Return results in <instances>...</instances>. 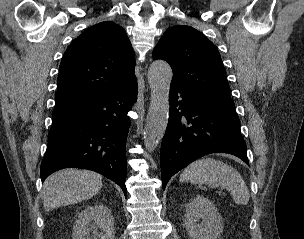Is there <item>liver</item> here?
Listing matches in <instances>:
<instances>
[{"label": "liver", "mask_w": 304, "mask_h": 239, "mask_svg": "<svg viewBox=\"0 0 304 239\" xmlns=\"http://www.w3.org/2000/svg\"><path fill=\"white\" fill-rule=\"evenodd\" d=\"M102 186V176L96 172L72 168L60 170L50 175L43 184L45 211L89 199Z\"/></svg>", "instance_id": "obj_1"}]
</instances>
